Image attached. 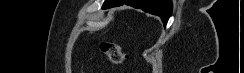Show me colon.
Wrapping results in <instances>:
<instances>
[{"mask_svg": "<svg viewBox=\"0 0 244 73\" xmlns=\"http://www.w3.org/2000/svg\"><path fill=\"white\" fill-rule=\"evenodd\" d=\"M100 48L109 62L113 64H120L123 62L124 55L121 46L118 43L103 41L100 44Z\"/></svg>", "mask_w": 244, "mask_h": 73, "instance_id": "colon-1", "label": "colon"}]
</instances>
